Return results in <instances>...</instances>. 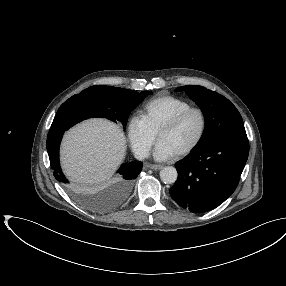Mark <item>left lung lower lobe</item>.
I'll list each match as a JSON object with an SVG mask.
<instances>
[{
  "instance_id": "1",
  "label": "left lung lower lobe",
  "mask_w": 286,
  "mask_h": 286,
  "mask_svg": "<svg viewBox=\"0 0 286 286\" xmlns=\"http://www.w3.org/2000/svg\"><path fill=\"white\" fill-rule=\"evenodd\" d=\"M249 154L245 138L225 137L194 147L176 163L178 178L172 199L194 213L210 211L236 189Z\"/></svg>"
}]
</instances>
